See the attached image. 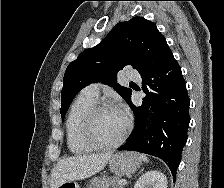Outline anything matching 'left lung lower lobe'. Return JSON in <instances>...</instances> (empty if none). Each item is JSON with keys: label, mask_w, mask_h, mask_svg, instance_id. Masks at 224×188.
<instances>
[{"label": "left lung lower lobe", "mask_w": 224, "mask_h": 188, "mask_svg": "<svg viewBox=\"0 0 224 188\" xmlns=\"http://www.w3.org/2000/svg\"><path fill=\"white\" fill-rule=\"evenodd\" d=\"M142 77V90L148 96L140 107L128 103L135 115V128L127 143L118 150H130L161 158L173 176L181 160L187 141L190 121L186 83L174 56ZM154 114L152 129H147L148 106Z\"/></svg>", "instance_id": "0a47b994"}]
</instances>
